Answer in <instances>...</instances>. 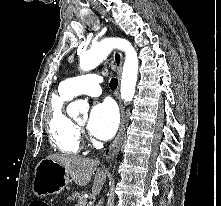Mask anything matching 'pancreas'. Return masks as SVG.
<instances>
[{"mask_svg": "<svg viewBox=\"0 0 221 206\" xmlns=\"http://www.w3.org/2000/svg\"><path fill=\"white\" fill-rule=\"evenodd\" d=\"M69 199L75 203V206H86V200L82 192L73 193Z\"/></svg>", "mask_w": 221, "mask_h": 206, "instance_id": "pancreas-1", "label": "pancreas"}]
</instances>
